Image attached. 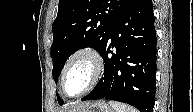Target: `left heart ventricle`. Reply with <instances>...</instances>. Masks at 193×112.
Instances as JSON below:
<instances>
[{
    "mask_svg": "<svg viewBox=\"0 0 193 112\" xmlns=\"http://www.w3.org/2000/svg\"><path fill=\"white\" fill-rule=\"evenodd\" d=\"M92 76V65L86 58L75 60L66 75V89L71 95L81 92L89 83Z\"/></svg>",
    "mask_w": 193,
    "mask_h": 112,
    "instance_id": "1",
    "label": "left heart ventricle"
}]
</instances>
